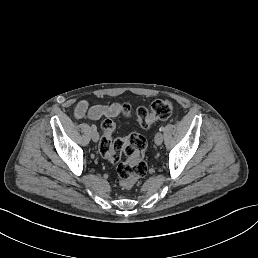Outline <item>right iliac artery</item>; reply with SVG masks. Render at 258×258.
<instances>
[{"label":"right iliac artery","instance_id":"82829eb1","mask_svg":"<svg viewBox=\"0 0 258 258\" xmlns=\"http://www.w3.org/2000/svg\"><path fill=\"white\" fill-rule=\"evenodd\" d=\"M91 128H92V130H94V131L97 129L94 124L91 125Z\"/></svg>","mask_w":258,"mask_h":258}]
</instances>
